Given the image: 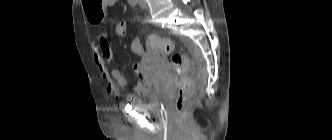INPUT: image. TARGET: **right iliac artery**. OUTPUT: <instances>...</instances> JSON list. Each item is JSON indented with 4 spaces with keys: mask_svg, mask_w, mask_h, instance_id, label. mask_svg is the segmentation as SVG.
<instances>
[{
    "mask_svg": "<svg viewBox=\"0 0 332 140\" xmlns=\"http://www.w3.org/2000/svg\"><path fill=\"white\" fill-rule=\"evenodd\" d=\"M128 3H129L131 6H136V4L138 3V0H128Z\"/></svg>",
    "mask_w": 332,
    "mask_h": 140,
    "instance_id": "82829eb1",
    "label": "right iliac artery"
}]
</instances>
